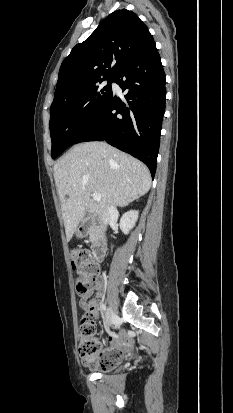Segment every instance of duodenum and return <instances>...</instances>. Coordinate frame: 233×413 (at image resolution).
<instances>
[{"label":"duodenum","mask_w":233,"mask_h":413,"mask_svg":"<svg viewBox=\"0 0 233 413\" xmlns=\"http://www.w3.org/2000/svg\"><path fill=\"white\" fill-rule=\"evenodd\" d=\"M81 234L86 235L90 231V227L88 225H82ZM96 240L92 247L93 256L96 260L100 261L104 257L105 249H106V242L103 234L99 229L96 230Z\"/></svg>","instance_id":"obj_1"}]
</instances>
